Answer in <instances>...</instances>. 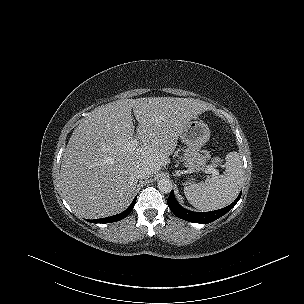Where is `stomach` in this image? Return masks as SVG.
Returning <instances> with one entry per match:
<instances>
[{
	"instance_id": "stomach-1",
	"label": "stomach",
	"mask_w": 304,
	"mask_h": 304,
	"mask_svg": "<svg viewBox=\"0 0 304 304\" xmlns=\"http://www.w3.org/2000/svg\"><path fill=\"white\" fill-rule=\"evenodd\" d=\"M181 140L187 145L182 155V162L189 172L204 171L207 167V157L202 154L201 148L210 138L208 125L197 118L189 121L180 133Z\"/></svg>"
}]
</instances>
